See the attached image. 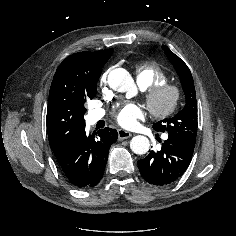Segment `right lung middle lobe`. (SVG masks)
I'll list each match as a JSON object with an SVG mask.
<instances>
[{
    "label": "right lung middle lobe",
    "instance_id": "dd1d6c3e",
    "mask_svg": "<svg viewBox=\"0 0 236 236\" xmlns=\"http://www.w3.org/2000/svg\"><path fill=\"white\" fill-rule=\"evenodd\" d=\"M112 53L105 55L103 58V64L107 62V60L110 58ZM97 82L98 80L94 81L93 83L87 85L81 90V96L83 99V105L86 102L87 99H93L96 96L97 93Z\"/></svg>",
    "mask_w": 236,
    "mask_h": 236
}]
</instances>
